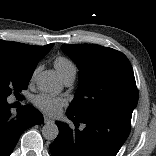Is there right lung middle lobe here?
<instances>
[{"label":"right lung middle lobe","mask_w":156,"mask_h":156,"mask_svg":"<svg viewBox=\"0 0 156 156\" xmlns=\"http://www.w3.org/2000/svg\"><path fill=\"white\" fill-rule=\"evenodd\" d=\"M33 72L26 71L6 58H0V96L7 98L26 89Z\"/></svg>","instance_id":"obj_1"}]
</instances>
